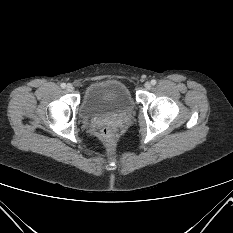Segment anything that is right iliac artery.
<instances>
[{
    "label": "right iliac artery",
    "instance_id": "82829eb1",
    "mask_svg": "<svg viewBox=\"0 0 233 233\" xmlns=\"http://www.w3.org/2000/svg\"><path fill=\"white\" fill-rule=\"evenodd\" d=\"M61 87H62V88H65V87H66V84H65V83H62V84H61Z\"/></svg>",
    "mask_w": 233,
    "mask_h": 233
}]
</instances>
